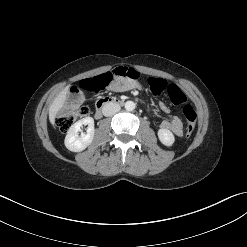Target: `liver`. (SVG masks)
Returning a JSON list of instances; mask_svg holds the SVG:
<instances>
[{"label":"liver","mask_w":247,"mask_h":247,"mask_svg":"<svg viewBox=\"0 0 247 247\" xmlns=\"http://www.w3.org/2000/svg\"><path fill=\"white\" fill-rule=\"evenodd\" d=\"M69 86H66L54 99L52 104L49 107V120L50 123L54 126L55 118L57 113L62 109L65 104Z\"/></svg>","instance_id":"1"}]
</instances>
